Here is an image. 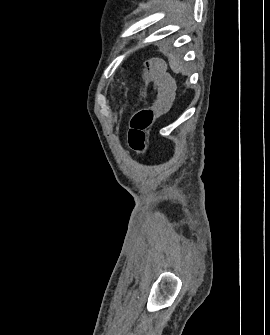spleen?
I'll return each instance as SVG.
<instances>
[{
  "instance_id": "obj_1",
  "label": "spleen",
  "mask_w": 270,
  "mask_h": 335,
  "mask_svg": "<svg viewBox=\"0 0 270 335\" xmlns=\"http://www.w3.org/2000/svg\"><path fill=\"white\" fill-rule=\"evenodd\" d=\"M169 66L175 74H180V72H185L184 64L181 62V58L175 56V54H169Z\"/></svg>"
}]
</instances>
